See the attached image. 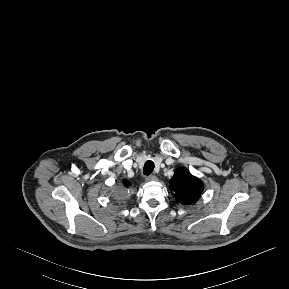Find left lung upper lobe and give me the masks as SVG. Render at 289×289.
<instances>
[{"label":"left lung upper lobe","mask_w":289,"mask_h":289,"mask_svg":"<svg viewBox=\"0 0 289 289\" xmlns=\"http://www.w3.org/2000/svg\"><path fill=\"white\" fill-rule=\"evenodd\" d=\"M170 184L176 193V199L183 204L197 201L204 188L202 182L197 177L192 176L185 168H178L175 171Z\"/></svg>","instance_id":"left-lung-upper-lobe-1"}]
</instances>
